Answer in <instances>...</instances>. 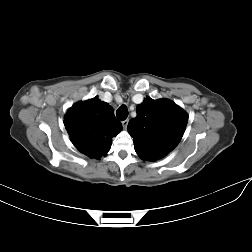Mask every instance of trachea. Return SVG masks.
<instances>
[{
  "label": "trachea",
  "mask_w": 252,
  "mask_h": 252,
  "mask_svg": "<svg viewBox=\"0 0 252 252\" xmlns=\"http://www.w3.org/2000/svg\"><path fill=\"white\" fill-rule=\"evenodd\" d=\"M116 116L120 120H125L128 117V109L125 105L120 106L116 111Z\"/></svg>",
  "instance_id": "1"
}]
</instances>
